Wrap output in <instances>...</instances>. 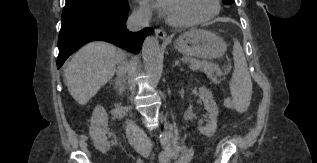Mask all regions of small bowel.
I'll list each match as a JSON object with an SVG mask.
<instances>
[{
    "label": "small bowel",
    "mask_w": 317,
    "mask_h": 163,
    "mask_svg": "<svg viewBox=\"0 0 317 163\" xmlns=\"http://www.w3.org/2000/svg\"><path fill=\"white\" fill-rule=\"evenodd\" d=\"M180 153V156L177 160H174L173 163H189L193 157V148L190 145L179 148L175 146L171 150L164 152L160 156L159 163H170L171 159L176 157ZM137 163H141L140 161Z\"/></svg>",
    "instance_id": "1"
}]
</instances>
